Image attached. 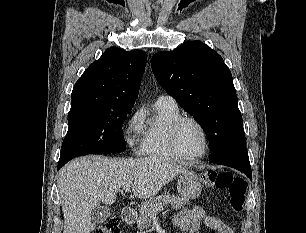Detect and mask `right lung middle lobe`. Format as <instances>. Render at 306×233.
Masks as SVG:
<instances>
[{
  "label": "right lung middle lobe",
  "instance_id": "dd1d6c3e",
  "mask_svg": "<svg viewBox=\"0 0 306 233\" xmlns=\"http://www.w3.org/2000/svg\"><path fill=\"white\" fill-rule=\"evenodd\" d=\"M132 107L71 105L68 132L63 140L59 162L86 154L122 152L126 143L122 134L125 116Z\"/></svg>",
  "mask_w": 306,
  "mask_h": 233
}]
</instances>
